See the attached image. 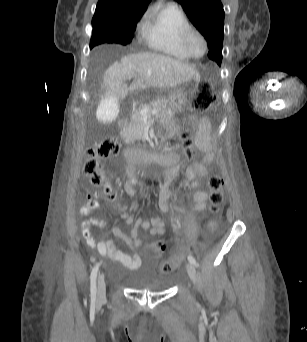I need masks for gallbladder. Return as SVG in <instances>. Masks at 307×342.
<instances>
[{"instance_id": "bac80fb5", "label": "gallbladder", "mask_w": 307, "mask_h": 342, "mask_svg": "<svg viewBox=\"0 0 307 342\" xmlns=\"http://www.w3.org/2000/svg\"><path fill=\"white\" fill-rule=\"evenodd\" d=\"M122 95H103L101 103L97 104L95 113L98 114V123H114L120 109Z\"/></svg>"}]
</instances>
